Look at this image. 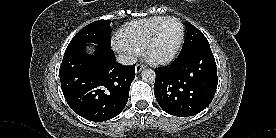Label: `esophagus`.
Listing matches in <instances>:
<instances>
[{"label":"esophagus","mask_w":276,"mask_h":138,"mask_svg":"<svg viewBox=\"0 0 276 138\" xmlns=\"http://www.w3.org/2000/svg\"><path fill=\"white\" fill-rule=\"evenodd\" d=\"M144 68V65H142V64H137L136 66H135V71H136V73H139V72H141V70Z\"/></svg>","instance_id":"obj_1"}]
</instances>
